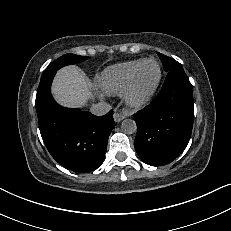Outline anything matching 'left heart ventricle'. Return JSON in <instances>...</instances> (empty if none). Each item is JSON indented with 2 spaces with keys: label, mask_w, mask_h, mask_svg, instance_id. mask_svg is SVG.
Masks as SVG:
<instances>
[{
  "label": "left heart ventricle",
  "mask_w": 231,
  "mask_h": 231,
  "mask_svg": "<svg viewBox=\"0 0 231 231\" xmlns=\"http://www.w3.org/2000/svg\"><path fill=\"white\" fill-rule=\"evenodd\" d=\"M158 77V68L154 62L145 63L137 73L134 84V96L143 97L155 84Z\"/></svg>",
  "instance_id": "1"
}]
</instances>
